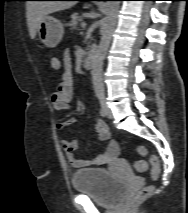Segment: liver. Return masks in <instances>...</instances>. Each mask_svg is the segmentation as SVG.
<instances>
[{
    "instance_id": "6515ba94",
    "label": "liver",
    "mask_w": 188,
    "mask_h": 213,
    "mask_svg": "<svg viewBox=\"0 0 188 213\" xmlns=\"http://www.w3.org/2000/svg\"><path fill=\"white\" fill-rule=\"evenodd\" d=\"M75 5L74 1H28L26 17L31 39H34L40 22L48 15Z\"/></svg>"
}]
</instances>
